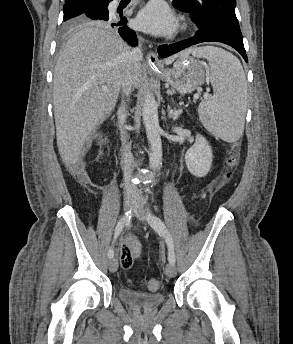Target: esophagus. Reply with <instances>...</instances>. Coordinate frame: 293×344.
<instances>
[{"label": "esophagus", "instance_id": "esophagus-1", "mask_svg": "<svg viewBox=\"0 0 293 344\" xmlns=\"http://www.w3.org/2000/svg\"><path fill=\"white\" fill-rule=\"evenodd\" d=\"M147 62H148V65L151 66V67H160L161 66V63L158 59V56L156 55V53L154 51H150L148 53V56H147Z\"/></svg>", "mask_w": 293, "mask_h": 344}]
</instances>
